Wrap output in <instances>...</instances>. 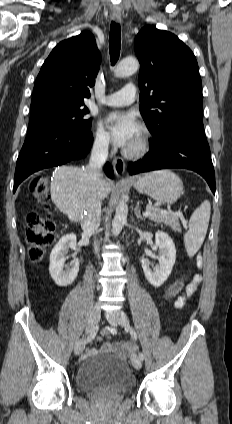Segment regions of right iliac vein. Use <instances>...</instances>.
<instances>
[{
    "label": "right iliac vein",
    "mask_w": 232,
    "mask_h": 424,
    "mask_svg": "<svg viewBox=\"0 0 232 424\" xmlns=\"http://www.w3.org/2000/svg\"><path fill=\"white\" fill-rule=\"evenodd\" d=\"M101 317V309L99 306H94L90 312L88 323L86 326V333H91L93 329L97 326ZM85 348V338H81L77 341L74 346V354L80 355Z\"/></svg>",
    "instance_id": "right-iliac-vein-1"
}]
</instances>
